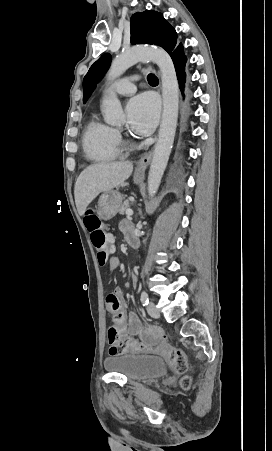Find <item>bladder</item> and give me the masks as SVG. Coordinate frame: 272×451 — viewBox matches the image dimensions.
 Segmentation results:
<instances>
[{"mask_svg":"<svg viewBox=\"0 0 272 451\" xmlns=\"http://www.w3.org/2000/svg\"><path fill=\"white\" fill-rule=\"evenodd\" d=\"M104 368L107 372L122 375L132 382L163 376L167 362L164 358L151 354L120 352L111 353L104 360Z\"/></svg>","mask_w":272,"mask_h":451,"instance_id":"bladder-1","label":"bladder"}]
</instances>
